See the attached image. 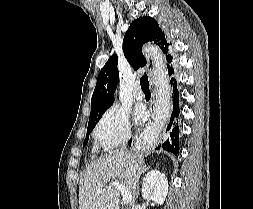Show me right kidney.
Returning <instances> with one entry per match:
<instances>
[{
  "mask_svg": "<svg viewBox=\"0 0 253 209\" xmlns=\"http://www.w3.org/2000/svg\"><path fill=\"white\" fill-rule=\"evenodd\" d=\"M168 193V181L165 174L158 170L149 171L142 184V196L162 205Z\"/></svg>",
  "mask_w": 253,
  "mask_h": 209,
  "instance_id": "right-kidney-1",
  "label": "right kidney"
}]
</instances>
